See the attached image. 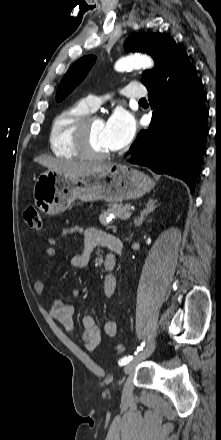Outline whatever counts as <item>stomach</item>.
Segmentation results:
<instances>
[{
    "label": "stomach",
    "mask_w": 221,
    "mask_h": 440,
    "mask_svg": "<svg viewBox=\"0 0 221 440\" xmlns=\"http://www.w3.org/2000/svg\"><path fill=\"white\" fill-rule=\"evenodd\" d=\"M153 187V180L143 172L127 165L111 164L79 176L47 170L37 177L33 196L40 211L56 215L76 199L118 202L140 198Z\"/></svg>",
    "instance_id": "obj_1"
}]
</instances>
